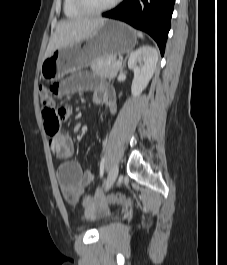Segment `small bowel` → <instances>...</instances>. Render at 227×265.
<instances>
[{
	"label": "small bowel",
	"mask_w": 227,
	"mask_h": 265,
	"mask_svg": "<svg viewBox=\"0 0 227 265\" xmlns=\"http://www.w3.org/2000/svg\"><path fill=\"white\" fill-rule=\"evenodd\" d=\"M95 72H74L73 76L64 81H55L54 85L59 86V91L64 95L75 94L83 91L94 93V102L104 105L115 112V95L113 89L94 78ZM60 112H68L66 118L73 111L72 107L59 108ZM49 148L52 154L63 162L60 164L57 177L64 199L71 205H77L86 188L94 181L95 173L91 170H84L81 165L71 160L74 151L72 138L65 132H58L49 135Z\"/></svg>",
	"instance_id": "obj_1"
}]
</instances>
